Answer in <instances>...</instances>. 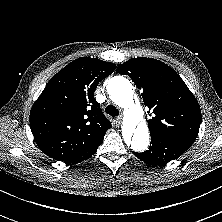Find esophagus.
Masks as SVG:
<instances>
[{"mask_svg":"<svg viewBox=\"0 0 222 222\" xmlns=\"http://www.w3.org/2000/svg\"><path fill=\"white\" fill-rule=\"evenodd\" d=\"M121 121H122V116H118V117L115 119L116 125L119 126V125L121 124Z\"/></svg>","mask_w":222,"mask_h":222,"instance_id":"obj_1","label":"esophagus"}]
</instances>
